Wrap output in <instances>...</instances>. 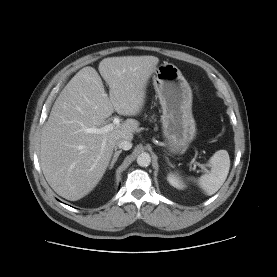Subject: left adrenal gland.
<instances>
[{
	"instance_id": "a2214340",
	"label": "left adrenal gland",
	"mask_w": 277,
	"mask_h": 277,
	"mask_svg": "<svg viewBox=\"0 0 277 277\" xmlns=\"http://www.w3.org/2000/svg\"><path fill=\"white\" fill-rule=\"evenodd\" d=\"M165 158L167 160L168 165L171 166V167H174L173 164L169 161V158L168 157H165Z\"/></svg>"
}]
</instances>
